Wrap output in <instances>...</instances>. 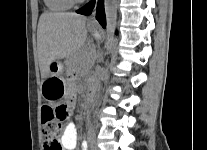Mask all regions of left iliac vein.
<instances>
[{
	"label": "left iliac vein",
	"instance_id": "4c4485c4",
	"mask_svg": "<svg viewBox=\"0 0 207 150\" xmlns=\"http://www.w3.org/2000/svg\"><path fill=\"white\" fill-rule=\"evenodd\" d=\"M90 150H99L96 143H95V141L91 142Z\"/></svg>",
	"mask_w": 207,
	"mask_h": 150
}]
</instances>
